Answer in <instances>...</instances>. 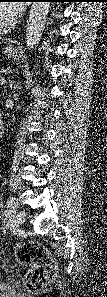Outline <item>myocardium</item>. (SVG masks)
Listing matches in <instances>:
<instances>
[{"instance_id": "myocardium-1", "label": "myocardium", "mask_w": 107, "mask_h": 297, "mask_svg": "<svg viewBox=\"0 0 107 297\" xmlns=\"http://www.w3.org/2000/svg\"><path fill=\"white\" fill-rule=\"evenodd\" d=\"M13 26H14V23L12 22L7 25H0V34L8 32Z\"/></svg>"}]
</instances>
